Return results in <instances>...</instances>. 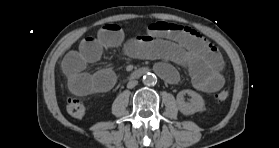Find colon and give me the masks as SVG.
Instances as JSON below:
<instances>
[{"instance_id": "5ec220e1", "label": "colon", "mask_w": 279, "mask_h": 148, "mask_svg": "<svg viewBox=\"0 0 279 148\" xmlns=\"http://www.w3.org/2000/svg\"><path fill=\"white\" fill-rule=\"evenodd\" d=\"M228 96L229 90L227 88H224L216 94L215 99L217 101H225ZM66 110L71 116L75 118H81L85 115L87 107L81 99L76 97H69L66 100Z\"/></svg>"}]
</instances>
